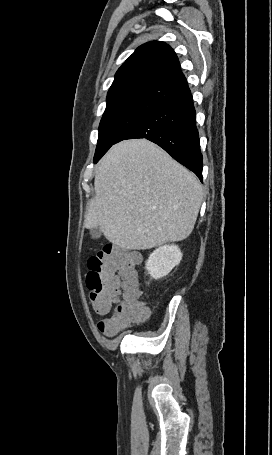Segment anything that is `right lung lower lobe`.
<instances>
[{
  "label": "right lung lower lobe",
  "instance_id": "98d812e1",
  "mask_svg": "<svg viewBox=\"0 0 272 455\" xmlns=\"http://www.w3.org/2000/svg\"><path fill=\"white\" fill-rule=\"evenodd\" d=\"M131 138H146L156 143L202 181L203 159L190 90L162 104L125 131L115 143Z\"/></svg>",
  "mask_w": 272,
  "mask_h": 455
}]
</instances>
